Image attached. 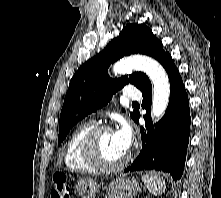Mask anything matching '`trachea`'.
<instances>
[{
    "mask_svg": "<svg viewBox=\"0 0 221 198\" xmlns=\"http://www.w3.org/2000/svg\"><path fill=\"white\" fill-rule=\"evenodd\" d=\"M133 104H137V102H133Z\"/></svg>",
    "mask_w": 221,
    "mask_h": 198,
    "instance_id": "obj_1",
    "label": "trachea"
}]
</instances>
